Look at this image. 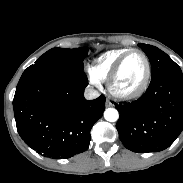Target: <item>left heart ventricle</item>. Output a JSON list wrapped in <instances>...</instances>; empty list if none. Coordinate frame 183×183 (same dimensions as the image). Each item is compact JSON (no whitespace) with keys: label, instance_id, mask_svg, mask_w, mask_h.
Instances as JSON below:
<instances>
[{"label":"left heart ventricle","instance_id":"left-heart-ventricle-1","mask_svg":"<svg viewBox=\"0 0 183 183\" xmlns=\"http://www.w3.org/2000/svg\"><path fill=\"white\" fill-rule=\"evenodd\" d=\"M145 62L140 54L132 53L124 61L115 80V86L121 91L135 89L143 80Z\"/></svg>","mask_w":183,"mask_h":183}]
</instances>
